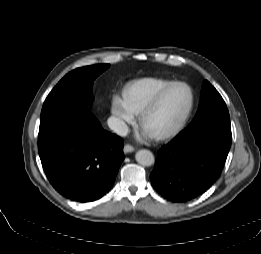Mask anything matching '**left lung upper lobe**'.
<instances>
[{
    "label": "left lung upper lobe",
    "mask_w": 261,
    "mask_h": 254,
    "mask_svg": "<svg viewBox=\"0 0 261 254\" xmlns=\"http://www.w3.org/2000/svg\"><path fill=\"white\" fill-rule=\"evenodd\" d=\"M209 125H230V116L223 98L206 80L203 82L198 112L185 131L197 132Z\"/></svg>",
    "instance_id": "obj_1"
}]
</instances>
